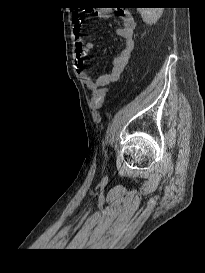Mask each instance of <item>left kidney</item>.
<instances>
[{
  "label": "left kidney",
  "mask_w": 205,
  "mask_h": 273,
  "mask_svg": "<svg viewBox=\"0 0 205 273\" xmlns=\"http://www.w3.org/2000/svg\"><path fill=\"white\" fill-rule=\"evenodd\" d=\"M143 21L148 25H153L162 16L163 8H138Z\"/></svg>",
  "instance_id": "1"
}]
</instances>
